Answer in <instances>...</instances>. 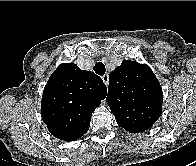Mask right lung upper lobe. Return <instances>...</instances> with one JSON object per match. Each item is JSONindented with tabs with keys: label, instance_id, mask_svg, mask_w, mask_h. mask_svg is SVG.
Segmentation results:
<instances>
[{
	"label": "right lung upper lobe",
	"instance_id": "right-lung-upper-lobe-1",
	"mask_svg": "<svg viewBox=\"0 0 196 166\" xmlns=\"http://www.w3.org/2000/svg\"><path fill=\"white\" fill-rule=\"evenodd\" d=\"M107 88L94 72L63 63L50 76L42 96L41 115L49 132L64 141L77 140L89 129L92 113Z\"/></svg>",
	"mask_w": 196,
	"mask_h": 166
}]
</instances>
